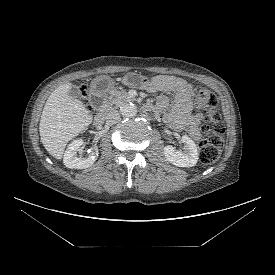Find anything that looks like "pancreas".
<instances>
[{
  "instance_id": "1",
  "label": "pancreas",
  "mask_w": 275,
  "mask_h": 275,
  "mask_svg": "<svg viewBox=\"0 0 275 275\" xmlns=\"http://www.w3.org/2000/svg\"><path fill=\"white\" fill-rule=\"evenodd\" d=\"M134 98L130 97L125 91L114 90L110 96L105 99V108L111 109L112 106H120L124 102L133 101Z\"/></svg>"
}]
</instances>
